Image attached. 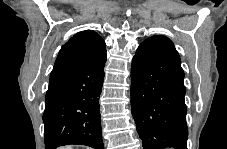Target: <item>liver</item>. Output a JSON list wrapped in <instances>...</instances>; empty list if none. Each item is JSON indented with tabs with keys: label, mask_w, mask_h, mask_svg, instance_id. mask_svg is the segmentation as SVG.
Listing matches in <instances>:
<instances>
[{
	"label": "liver",
	"mask_w": 227,
	"mask_h": 149,
	"mask_svg": "<svg viewBox=\"0 0 227 149\" xmlns=\"http://www.w3.org/2000/svg\"><path fill=\"white\" fill-rule=\"evenodd\" d=\"M61 149H72V146H65V147H63Z\"/></svg>",
	"instance_id": "6515ba94"
}]
</instances>
